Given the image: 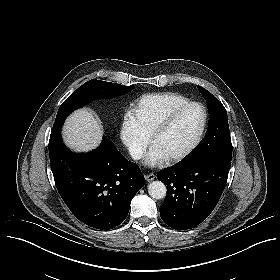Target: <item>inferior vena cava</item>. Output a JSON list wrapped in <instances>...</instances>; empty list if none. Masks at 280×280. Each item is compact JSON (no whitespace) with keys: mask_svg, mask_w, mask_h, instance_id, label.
<instances>
[{"mask_svg":"<svg viewBox=\"0 0 280 280\" xmlns=\"http://www.w3.org/2000/svg\"><path fill=\"white\" fill-rule=\"evenodd\" d=\"M130 154L134 159H140L143 156L144 150L142 147H139L137 145H132L129 148Z\"/></svg>","mask_w":280,"mask_h":280,"instance_id":"obj_1","label":"inferior vena cava"}]
</instances>
